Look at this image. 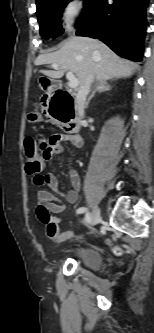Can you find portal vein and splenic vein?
<instances>
[{
  "mask_svg": "<svg viewBox=\"0 0 154 333\" xmlns=\"http://www.w3.org/2000/svg\"><path fill=\"white\" fill-rule=\"evenodd\" d=\"M52 67L54 69H58L59 65L54 63L52 64ZM66 77L68 79V86L70 88H76L79 85L78 79L74 76V74L71 71L67 72Z\"/></svg>",
  "mask_w": 154,
  "mask_h": 333,
  "instance_id": "obj_1",
  "label": "portal vein and splenic vein"
}]
</instances>
